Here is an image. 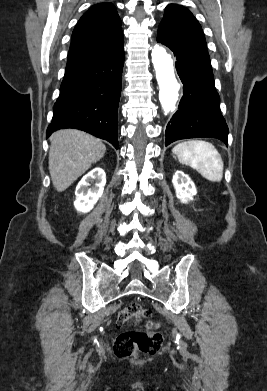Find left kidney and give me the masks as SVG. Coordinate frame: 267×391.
<instances>
[{
  "instance_id": "left-kidney-1",
  "label": "left kidney",
  "mask_w": 267,
  "mask_h": 391,
  "mask_svg": "<svg viewBox=\"0 0 267 391\" xmlns=\"http://www.w3.org/2000/svg\"><path fill=\"white\" fill-rule=\"evenodd\" d=\"M172 183L176 191V196L182 203L193 200V196L196 195L197 192L194 182L188 175L178 170L173 176Z\"/></svg>"
}]
</instances>
